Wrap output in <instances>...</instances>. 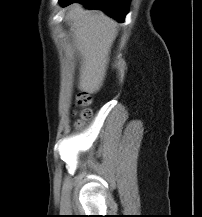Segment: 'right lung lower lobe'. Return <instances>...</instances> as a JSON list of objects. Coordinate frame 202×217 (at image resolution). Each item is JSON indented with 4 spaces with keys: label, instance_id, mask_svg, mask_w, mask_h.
<instances>
[{
    "label": "right lung lower lobe",
    "instance_id": "98d812e1",
    "mask_svg": "<svg viewBox=\"0 0 202 217\" xmlns=\"http://www.w3.org/2000/svg\"><path fill=\"white\" fill-rule=\"evenodd\" d=\"M63 7L72 3H82L87 8L103 10L119 22H123L130 0H59Z\"/></svg>",
    "mask_w": 202,
    "mask_h": 217
}]
</instances>
